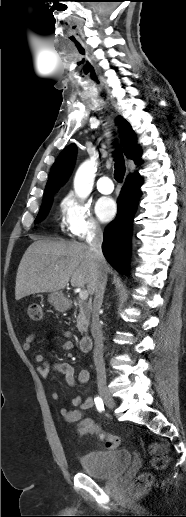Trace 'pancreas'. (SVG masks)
<instances>
[{
	"instance_id": "obj_1",
	"label": "pancreas",
	"mask_w": 186,
	"mask_h": 517,
	"mask_svg": "<svg viewBox=\"0 0 186 517\" xmlns=\"http://www.w3.org/2000/svg\"><path fill=\"white\" fill-rule=\"evenodd\" d=\"M76 308H79V314L77 316V328L81 334L83 332H86L90 323V316H91V306L80 300Z\"/></svg>"
}]
</instances>
